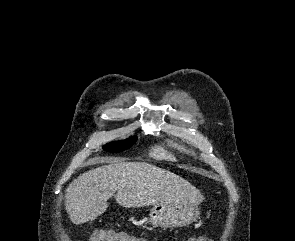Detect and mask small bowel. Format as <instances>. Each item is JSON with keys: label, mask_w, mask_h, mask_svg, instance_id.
<instances>
[{"label": "small bowel", "mask_w": 295, "mask_h": 241, "mask_svg": "<svg viewBox=\"0 0 295 241\" xmlns=\"http://www.w3.org/2000/svg\"><path fill=\"white\" fill-rule=\"evenodd\" d=\"M189 240V239H188ZM207 240V239H206ZM132 241H146L144 239H139V238H136V237H133L132 238ZM208 241H212V240H208Z\"/></svg>", "instance_id": "obj_1"}]
</instances>
